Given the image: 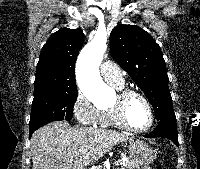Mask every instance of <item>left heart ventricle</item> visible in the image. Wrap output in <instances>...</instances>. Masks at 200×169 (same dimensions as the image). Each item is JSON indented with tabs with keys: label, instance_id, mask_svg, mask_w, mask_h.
Masks as SVG:
<instances>
[{
	"label": "left heart ventricle",
	"instance_id": "left-heart-ventricle-1",
	"mask_svg": "<svg viewBox=\"0 0 200 169\" xmlns=\"http://www.w3.org/2000/svg\"><path fill=\"white\" fill-rule=\"evenodd\" d=\"M126 115L129 124L134 128L145 127L150 120V114L145 102L136 96L131 97L126 105Z\"/></svg>",
	"mask_w": 200,
	"mask_h": 169
}]
</instances>
